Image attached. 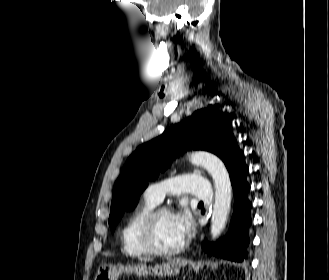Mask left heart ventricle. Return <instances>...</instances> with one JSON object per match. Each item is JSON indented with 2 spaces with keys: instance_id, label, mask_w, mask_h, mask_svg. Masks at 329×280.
<instances>
[{
  "instance_id": "left-heart-ventricle-1",
  "label": "left heart ventricle",
  "mask_w": 329,
  "mask_h": 280,
  "mask_svg": "<svg viewBox=\"0 0 329 280\" xmlns=\"http://www.w3.org/2000/svg\"><path fill=\"white\" fill-rule=\"evenodd\" d=\"M156 243L163 248H173L184 239L181 237L171 213L160 215L155 225Z\"/></svg>"
}]
</instances>
